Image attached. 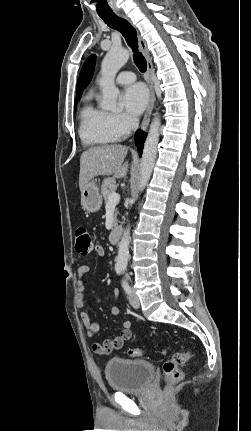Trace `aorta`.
<instances>
[{
	"instance_id": "1",
	"label": "aorta",
	"mask_w": 251,
	"mask_h": 431,
	"mask_svg": "<svg viewBox=\"0 0 251 431\" xmlns=\"http://www.w3.org/2000/svg\"><path fill=\"white\" fill-rule=\"evenodd\" d=\"M130 53L124 48H111L104 57L101 65V79L99 85L102 89L103 98L100 103L101 108L105 110H115L119 89L115 86V76L120 68L128 61ZM160 134V119L155 115L144 144L143 154L140 164V178L138 190L142 192L150 180L156 154L157 144ZM129 240L130 226L124 231L121 241L118 245V255L116 258V267L126 268L129 257Z\"/></svg>"
}]
</instances>
